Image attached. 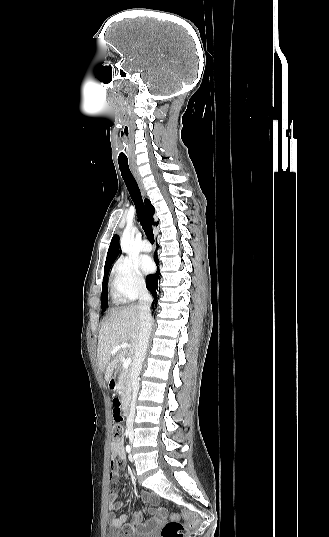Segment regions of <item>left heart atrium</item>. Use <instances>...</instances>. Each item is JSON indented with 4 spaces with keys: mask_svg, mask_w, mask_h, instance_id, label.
<instances>
[{
    "mask_svg": "<svg viewBox=\"0 0 329 537\" xmlns=\"http://www.w3.org/2000/svg\"><path fill=\"white\" fill-rule=\"evenodd\" d=\"M139 266L144 273H149L153 270V262L149 256H141Z\"/></svg>",
    "mask_w": 329,
    "mask_h": 537,
    "instance_id": "1",
    "label": "left heart atrium"
}]
</instances>
